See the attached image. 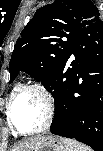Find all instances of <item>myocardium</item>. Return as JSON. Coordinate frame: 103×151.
<instances>
[{
    "instance_id": "1",
    "label": "myocardium",
    "mask_w": 103,
    "mask_h": 151,
    "mask_svg": "<svg viewBox=\"0 0 103 151\" xmlns=\"http://www.w3.org/2000/svg\"><path fill=\"white\" fill-rule=\"evenodd\" d=\"M24 92H34L36 94L39 95V97L42 99L43 101V105H44V109H45V116H44V121L41 124V126H39L36 129L30 130V131H22L15 123L14 119H13V107H14V103L16 101V99ZM8 121L10 123V125L12 126L13 130L20 135H32V134H36L39 132H42L44 130H46L53 119V115H54V101H53V97L50 94V92L42 85L40 84H28V85H24L19 87L11 96L9 102H8V107H7V112H6Z\"/></svg>"
}]
</instances>
